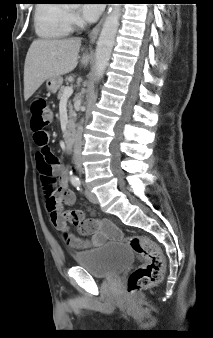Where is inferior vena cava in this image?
Wrapping results in <instances>:
<instances>
[{
  "label": "inferior vena cava",
  "mask_w": 213,
  "mask_h": 338,
  "mask_svg": "<svg viewBox=\"0 0 213 338\" xmlns=\"http://www.w3.org/2000/svg\"><path fill=\"white\" fill-rule=\"evenodd\" d=\"M82 126L79 124L77 127V133L74 140V163L76 165L77 170L80 172L81 169V150H82Z\"/></svg>",
  "instance_id": "1"
}]
</instances>
